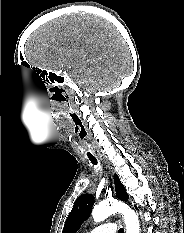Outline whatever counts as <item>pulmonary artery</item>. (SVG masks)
Wrapping results in <instances>:
<instances>
[{"label": "pulmonary artery", "instance_id": "e3ab8cb5", "mask_svg": "<svg viewBox=\"0 0 184 233\" xmlns=\"http://www.w3.org/2000/svg\"><path fill=\"white\" fill-rule=\"evenodd\" d=\"M117 232V226L113 222H108L102 225L97 226L93 230H91L89 233H116Z\"/></svg>", "mask_w": 184, "mask_h": 233}]
</instances>
